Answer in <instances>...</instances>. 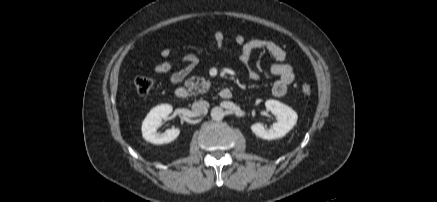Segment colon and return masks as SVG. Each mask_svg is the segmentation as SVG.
Here are the masks:
<instances>
[{"label":"colon","mask_w":437,"mask_h":202,"mask_svg":"<svg viewBox=\"0 0 437 202\" xmlns=\"http://www.w3.org/2000/svg\"><path fill=\"white\" fill-rule=\"evenodd\" d=\"M134 85L139 94L146 95L152 90L154 86V80L151 77L138 76L135 78ZM300 91L304 96H309L312 92L311 85L308 83H303L300 87Z\"/></svg>","instance_id":"1"}]
</instances>
